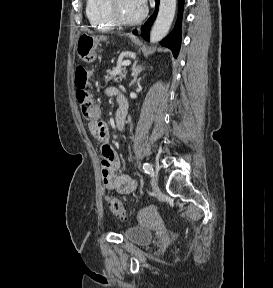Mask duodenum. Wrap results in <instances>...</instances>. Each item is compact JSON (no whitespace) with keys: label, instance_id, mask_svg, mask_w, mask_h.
<instances>
[{"label":"duodenum","instance_id":"duodenum-1","mask_svg":"<svg viewBox=\"0 0 273 288\" xmlns=\"http://www.w3.org/2000/svg\"><path fill=\"white\" fill-rule=\"evenodd\" d=\"M118 103H119L118 120L122 121L125 120L128 111V102L123 94H119Z\"/></svg>","mask_w":273,"mask_h":288}]
</instances>
